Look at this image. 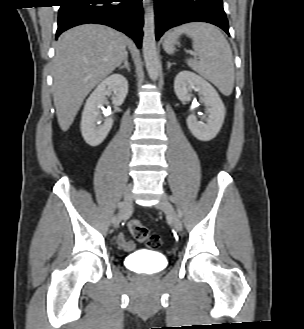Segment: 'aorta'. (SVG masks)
Segmentation results:
<instances>
[{"label":"aorta","instance_id":"1","mask_svg":"<svg viewBox=\"0 0 304 329\" xmlns=\"http://www.w3.org/2000/svg\"><path fill=\"white\" fill-rule=\"evenodd\" d=\"M142 48L149 77L151 80L156 81L159 76V60L156 51L155 15L152 5L146 9L144 14Z\"/></svg>","mask_w":304,"mask_h":329}]
</instances>
